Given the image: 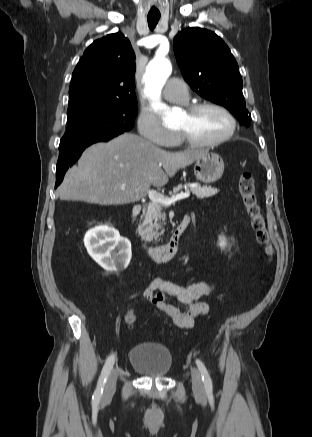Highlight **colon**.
Here are the masks:
<instances>
[{"instance_id": "1", "label": "colon", "mask_w": 312, "mask_h": 437, "mask_svg": "<svg viewBox=\"0 0 312 437\" xmlns=\"http://www.w3.org/2000/svg\"><path fill=\"white\" fill-rule=\"evenodd\" d=\"M239 192L243 205L250 220L251 227L255 233L257 242L263 246L269 261L273 259V248L270 243V237L265 227V221L259 206L255 183L252 173L245 171L239 178ZM125 324L132 329L136 322V313L128 310L124 315Z\"/></svg>"}]
</instances>
